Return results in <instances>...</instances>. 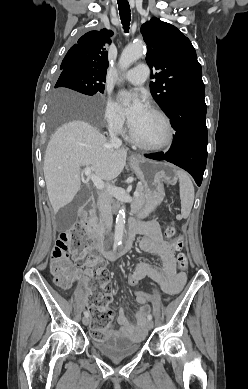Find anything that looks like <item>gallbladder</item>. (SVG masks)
Instances as JSON below:
<instances>
[{
	"label": "gallbladder",
	"mask_w": 248,
	"mask_h": 389,
	"mask_svg": "<svg viewBox=\"0 0 248 389\" xmlns=\"http://www.w3.org/2000/svg\"><path fill=\"white\" fill-rule=\"evenodd\" d=\"M90 192L87 187L80 190L73 201L63 210V213L59 215L58 223L63 224L67 217L70 218V222L73 223L77 217V209L83 205L89 198Z\"/></svg>",
	"instance_id": "1"
}]
</instances>
